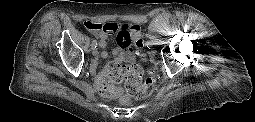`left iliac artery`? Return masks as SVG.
Masks as SVG:
<instances>
[{
	"label": "left iliac artery",
	"instance_id": "44dca946",
	"mask_svg": "<svg viewBox=\"0 0 255 122\" xmlns=\"http://www.w3.org/2000/svg\"><path fill=\"white\" fill-rule=\"evenodd\" d=\"M146 45H147L148 48H151V47L153 46V43H152L151 41H148V42L146 43Z\"/></svg>",
	"mask_w": 255,
	"mask_h": 122
}]
</instances>
